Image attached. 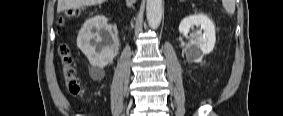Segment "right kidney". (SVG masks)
<instances>
[{"label":"right kidney","instance_id":"right-kidney-1","mask_svg":"<svg viewBox=\"0 0 283 116\" xmlns=\"http://www.w3.org/2000/svg\"><path fill=\"white\" fill-rule=\"evenodd\" d=\"M107 21L102 15L88 19L77 37L78 48L93 67L104 68L113 61L119 50V38Z\"/></svg>","mask_w":283,"mask_h":116}]
</instances>
